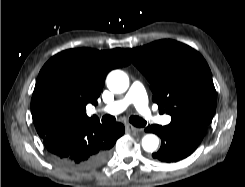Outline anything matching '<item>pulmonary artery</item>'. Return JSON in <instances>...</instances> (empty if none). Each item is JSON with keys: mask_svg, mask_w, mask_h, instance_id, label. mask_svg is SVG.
I'll list each match as a JSON object with an SVG mask.
<instances>
[{"mask_svg": "<svg viewBox=\"0 0 245 187\" xmlns=\"http://www.w3.org/2000/svg\"><path fill=\"white\" fill-rule=\"evenodd\" d=\"M129 105H134L140 114L152 122L166 125L171 121V116H160L150 109L145 88L138 81L132 83L124 98L99 109L98 112L115 115L126 110Z\"/></svg>", "mask_w": 245, "mask_h": 187, "instance_id": "obj_1", "label": "pulmonary artery"}]
</instances>
